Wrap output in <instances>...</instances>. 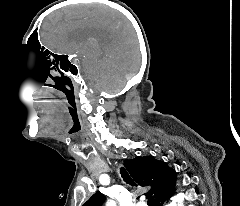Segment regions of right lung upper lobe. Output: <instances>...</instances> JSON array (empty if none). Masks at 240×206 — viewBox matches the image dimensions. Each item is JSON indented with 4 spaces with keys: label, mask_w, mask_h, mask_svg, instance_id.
<instances>
[{
    "label": "right lung upper lobe",
    "mask_w": 240,
    "mask_h": 206,
    "mask_svg": "<svg viewBox=\"0 0 240 206\" xmlns=\"http://www.w3.org/2000/svg\"><path fill=\"white\" fill-rule=\"evenodd\" d=\"M124 165L138 185L151 188L149 193L156 201L174 192L176 172L165 162L146 156L125 160ZM105 198L98 191L83 206H102Z\"/></svg>",
    "instance_id": "obj_1"
}]
</instances>
